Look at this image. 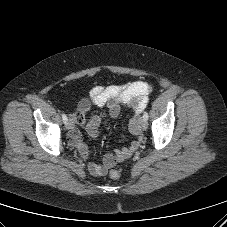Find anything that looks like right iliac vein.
Masks as SVG:
<instances>
[{
    "label": "right iliac vein",
    "mask_w": 227,
    "mask_h": 227,
    "mask_svg": "<svg viewBox=\"0 0 227 227\" xmlns=\"http://www.w3.org/2000/svg\"><path fill=\"white\" fill-rule=\"evenodd\" d=\"M66 128L68 129V130H70V129H72L73 127H74V123L71 121V120H68L67 122H66Z\"/></svg>",
    "instance_id": "1"
}]
</instances>
